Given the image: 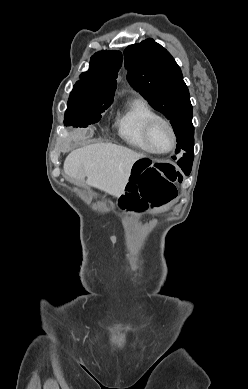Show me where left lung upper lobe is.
Listing matches in <instances>:
<instances>
[{
  "mask_svg": "<svg viewBox=\"0 0 248 389\" xmlns=\"http://www.w3.org/2000/svg\"><path fill=\"white\" fill-rule=\"evenodd\" d=\"M124 60L130 85L170 120L178 142L176 153L193 151L194 134L188 126L193 111L190 95L170 53L153 39H146L128 46Z\"/></svg>",
  "mask_w": 248,
  "mask_h": 389,
  "instance_id": "1",
  "label": "left lung upper lobe"
}]
</instances>
